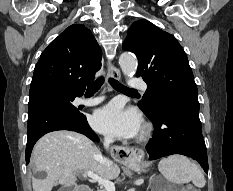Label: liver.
I'll return each instance as SVG.
<instances>
[{"label":"liver","mask_w":233,"mask_h":191,"mask_svg":"<svg viewBox=\"0 0 233 191\" xmlns=\"http://www.w3.org/2000/svg\"><path fill=\"white\" fill-rule=\"evenodd\" d=\"M100 150L86 136L68 130L47 133L36 143L32 162L36 172L45 171L44 179H33L34 191H51L58 184L75 185L77 173L92 171L106 180L116 179L120 168L105 166Z\"/></svg>","instance_id":"1"}]
</instances>
